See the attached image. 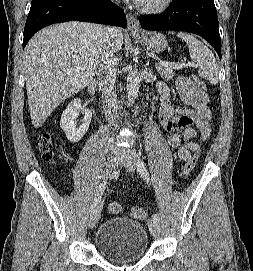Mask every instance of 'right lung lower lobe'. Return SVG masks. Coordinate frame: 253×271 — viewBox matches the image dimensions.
I'll use <instances>...</instances> for the list:
<instances>
[{
  "mask_svg": "<svg viewBox=\"0 0 253 271\" xmlns=\"http://www.w3.org/2000/svg\"><path fill=\"white\" fill-rule=\"evenodd\" d=\"M71 20L126 28L124 11L111 0H32L24 28L23 48L40 29Z\"/></svg>",
  "mask_w": 253,
  "mask_h": 271,
  "instance_id": "1",
  "label": "right lung lower lobe"
}]
</instances>
